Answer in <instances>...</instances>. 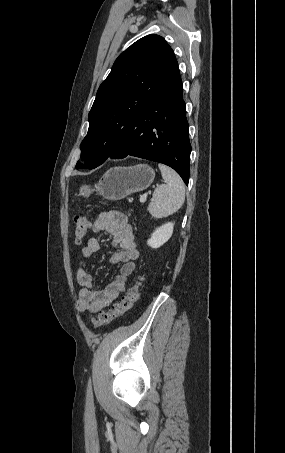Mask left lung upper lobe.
Masks as SVG:
<instances>
[{
	"mask_svg": "<svg viewBox=\"0 0 285 453\" xmlns=\"http://www.w3.org/2000/svg\"><path fill=\"white\" fill-rule=\"evenodd\" d=\"M175 59L171 47L158 35L139 39L119 55L89 112L88 133L80 145L82 160L88 162H77V169L96 168L109 158Z\"/></svg>",
	"mask_w": 285,
	"mask_h": 453,
	"instance_id": "left-lung-upper-lobe-1",
	"label": "left lung upper lobe"
}]
</instances>
